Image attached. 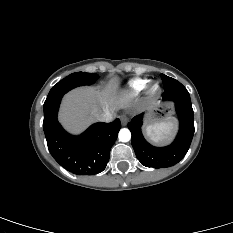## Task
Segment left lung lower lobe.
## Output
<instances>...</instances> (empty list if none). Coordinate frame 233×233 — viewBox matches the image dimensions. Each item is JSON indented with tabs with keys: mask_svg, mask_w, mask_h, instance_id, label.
Returning a JSON list of instances; mask_svg holds the SVG:
<instances>
[{
	"mask_svg": "<svg viewBox=\"0 0 233 233\" xmlns=\"http://www.w3.org/2000/svg\"><path fill=\"white\" fill-rule=\"evenodd\" d=\"M164 90L163 100L175 103L180 122L179 133L171 145L154 147L144 139L141 132L143 114L135 116L128 123L137 159L142 165L156 169L170 167L178 163L186 155L194 135V113L188 91L180 82Z\"/></svg>",
	"mask_w": 233,
	"mask_h": 233,
	"instance_id": "obj_1",
	"label": "left lung lower lobe"
}]
</instances>
